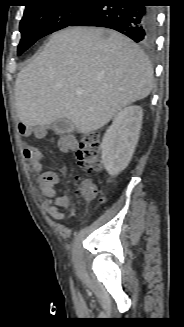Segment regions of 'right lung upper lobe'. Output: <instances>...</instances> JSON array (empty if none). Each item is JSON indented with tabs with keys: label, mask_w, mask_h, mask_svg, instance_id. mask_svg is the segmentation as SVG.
<instances>
[{
	"label": "right lung upper lobe",
	"mask_w": 184,
	"mask_h": 327,
	"mask_svg": "<svg viewBox=\"0 0 184 327\" xmlns=\"http://www.w3.org/2000/svg\"><path fill=\"white\" fill-rule=\"evenodd\" d=\"M27 1L29 3L36 4V3L47 1V0H27ZM32 4H30V5H32ZM30 5H27L26 8L29 7Z\"/></svg>",
	"instance_id": "right-lung-upper-lobe-1"
}]
</instances>
